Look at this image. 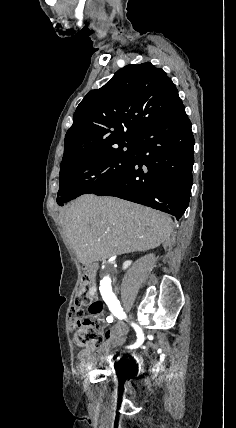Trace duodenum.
<instances>
[{"instance_id":"obj_1","label":"duodenum","mask_w":236,"mask_h":428,"mask_svg":"<svg viewBox=\"0 0 236 428\" xmlns=\"http://www.w3.org/2000/svg\"><path fill=\"white\" fill-rule=\"evenodd\" d=\"M96 271V265L87 264L84 267V273L89 280H93Z\"/></svg>"}]
</instances>
